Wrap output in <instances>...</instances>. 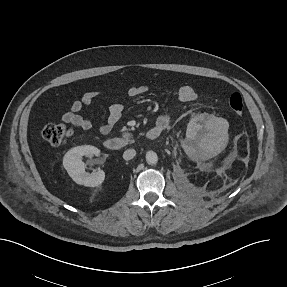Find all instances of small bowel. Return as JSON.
<instances>
[{
  "mask_svg": "<svg viewBox=\"0 0 287 287\" xmlns=\"http://www.w3.org/2000/svg\"><path fill=\"white\" fill-rule=\"evenodd\" d=\"M147 86L141 85L131 87L128 89L127 94L131 98H136L147 91ZM101 96L98 91H88L84 93L79 99L72 102L70 109L64 112L61 116L62 120L66 123L82 130H90L93 127L92 122L83 117L81 112L84 108L91 105L96 99ZM197 91L190 85H183L179 87L175 92V101L188 103L197 99ZM124 107L121 103H113L109 107L108 116L106 121L99 126L101 134L106 135L111 132L114 126L119 122L122 117ZM170 117L168 114L163 113L157 116L155 126L166 129L170 125Z\"/></svg>",
  "mask_w": 287,
  "mask_h": 287,
  "instance_id": "c3829d8e",
  "label": "small bowel"
}]
</instances>
